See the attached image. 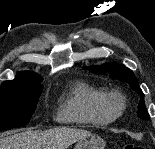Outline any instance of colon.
Returning <instances> with one entry per match:
<instances>
[{
	"mask_svg": "<svg viewBox=\"0 0 155 149\" xmlns=\"http://www.w3.org/2000/svg\"><path fill=\"white\" fill-rule=\"evenodd\" d=\"M124 149H143V147L139 144H135V143H127L124 146Z\"/></svg>",
	"mask_w": 155,
	"mask_h": 149,
	"instance_id": "colon-1",
	"label": "colon"
}]
</instances>
